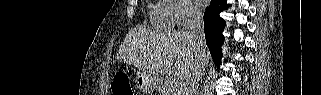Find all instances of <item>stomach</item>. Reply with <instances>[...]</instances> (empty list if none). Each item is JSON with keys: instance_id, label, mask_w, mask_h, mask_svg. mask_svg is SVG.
<instances>
[{"instance_id": "0dacf381", "label": "stomach", "mask_w": 321, "mask_h": 95, "mask_svg": "<svg viewBox=\"0 0 321 95\" xmlns=\"http://www.w3.org/2000/svg\"><path fill=\"white\" fill-rule=\"evenodd\" d=\"M136 83L138 88L145 92H151L156 88L155 79L143 71L137 73Z\"/></svg>"}]
</instances>
